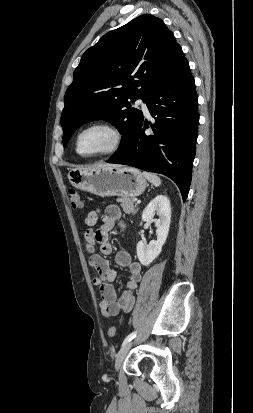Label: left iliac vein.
I'll list each match as a JSON object with an SVG mask.
<instances>
[{
    "label": "left iliac vein",
    "instance_id": "left-iliac-vein-1",
    "mask_svg": "<svg viewBox=\"0 0 253 413\" xmlns=\"http://www.w3.org/2000/svg\"><path fill=\"white\" fill-rule=\"evenodd\" d=\"M132 344H133V342H131V341L128 342V343L125 344V345L120 349V351L118 352L117 357H116V361H115V368H116V370L119 369L122 361H123L124 358L126 357V355H127L128 351L130 350Z\"/></svg>",
    "mask_w": 253,
    "mask_h": 413
}]
</instances>
